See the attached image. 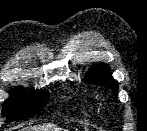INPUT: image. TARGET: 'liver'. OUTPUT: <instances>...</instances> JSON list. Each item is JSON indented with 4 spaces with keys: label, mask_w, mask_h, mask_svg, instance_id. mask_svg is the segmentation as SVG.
Masks as SVG:
<instances>
[{
    "label": "liver",
    "mask_w": 147,
    "mask_h": 131,
    "mask_svg": "<svg viewBox=\"0 0 147 131\" xmlns=\"http://www.w3.org/2000/svg\"><path fill=\"white\" fill-rule=\"evenodd\" d=\"M23 131H63V129L57 127L55 124L47 123L42 125L29 126L24 128Z\"/></svg>",
    "instance_id": "6515ba94"
}]
</instances>
